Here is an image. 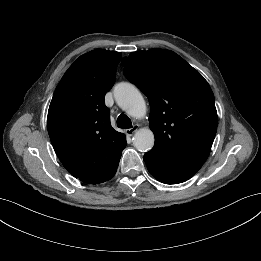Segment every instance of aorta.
<instances>
[{"instance_id": "obj_1", "label": "aorta", "mask_w": 261, "mask_h": 261, "mask_svg": "<svg viewBox=\"0 0 261 261\" xmlns=\"http://www.w3.org/2000/svg\"><path fill=\"white\" fill-rule=\"evenodd\" d=\"M114 97L118 106L133 118L141 119L146 115L147 107L140 91L130 83H119L114 88ZM154 134L148 128L139 129L133 137L138 151L146 152L154 145Z\"/></svg>"}]
</instances>
